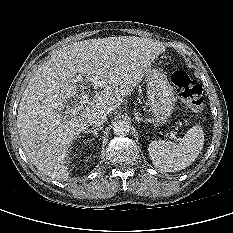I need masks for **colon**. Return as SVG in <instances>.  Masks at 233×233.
<instances>
[{
    "label": "colon",
    "instance_id": "1",
    "mask_svg": "<svg viewBox=\"0 0 233 233\" xmlns=\"http://www.w3.org/2000/svg\"><path fill=\"white\" fill-rule=\"evenodd\" d=\"M171 79L179 97L187 107L195 113L201 112L204 108L202 87L181 69L174 70Z\"/></svg>",
    "mask_w": 233,
    "mask_h": 233
}]
</instances>
